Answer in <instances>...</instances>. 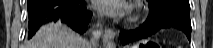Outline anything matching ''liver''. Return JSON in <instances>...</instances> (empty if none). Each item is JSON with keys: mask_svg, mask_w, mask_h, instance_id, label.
<instances>
[{"mask_svg": "<svg viewBox=\"0 0 213 48\" xmlns=\"http://www.w3.org/2000/svg\"><path fill=\"white\" fill-rule=\"evenodd\" d=\"M24 48H88L86 41L61 22L43 25Z\"/></svg>", "mask_w": 213, "mask_h": 48, "instance_id": "obj_1", "label": "liver"}]
</instances>
